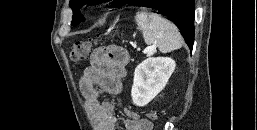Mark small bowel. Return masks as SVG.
<instances>
[{"label":"small bowel","instance_id":"1","mask_svg":"<svg viewBox=\"0 0 257 130\" xmlns=\"http://www.w3.org/2000/svg\"><path fill=\"white\" fill-rule=\"evenodd\" d=\"M128 53L121 47L108 46L95 50L90 56V65L80 78V91L89 108L98 130H116L114 103L102 101L101 92L115 96L122 90L126 76ZM125 130H151V122L142 119L131 109H125Z\"/></svg>","mask_w":257,"mask_h":130}]
</instances>
